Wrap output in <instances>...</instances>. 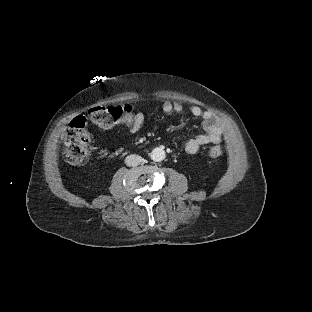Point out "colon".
Masks as SVG:
<instances>
[{
  "label": "colon",
  "instance_id": "5ec220e1",
  "mask_svg": "<svg viewBox=\"0 0 312 312\" xmlns=\"http://www.w3.org/2000/svg\"><path fill=\"white\" fill-rule=\"evenodd\" d=\"M130 111L127 105L121 106H94L88 111L89 122L99 129H108L121 122ZM72 127H69L64 134V156L68 163L79 165L86 161L90 150L91 140L87 132V120L78 116L72 120ZM223 148L215 144L210 148L212 156H220Z\"/></svg>",
  "mask_w": 312,
  "mask_h": 312
}]
</instances>
